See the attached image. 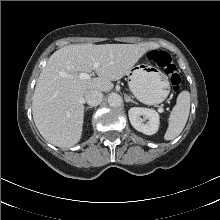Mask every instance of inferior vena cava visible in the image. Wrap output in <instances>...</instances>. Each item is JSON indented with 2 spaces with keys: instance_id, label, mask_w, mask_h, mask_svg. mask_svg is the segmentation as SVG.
I'll list each match as a JSON object with an SVG mask.
<instances>
[{
  "instance_id": "obj_1",
  "label": "inferior vena cava",
  "mask_w": 220,
  "mask_h": 220,
  "mask_svg": "<svg viewBox=\"0 0 220 220\" xmlns=\"http://www.w3.org/2000/svg\"><path fill=\"white\" fill-rule=\"evenodd\" d=\"M84 99L89 106H98L103 100V94L98 90H88L84 95Z\"/></svg>"
}]
</instances>
